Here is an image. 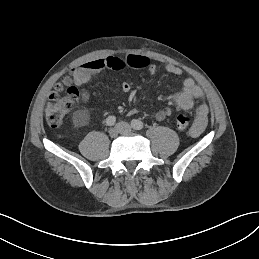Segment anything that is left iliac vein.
<instances>
[{"instance_id": "1", "label": "left iliac vein", "mask_w": 259, "mask_h": 259, "mask_svg": "<svg viewBox=\"0 0 259 259\" xmlns=\"http://www.w3.org/2000/svg\"><path fill=\"white\" fill-rule=\"evenodd\" d=\"M116 127L121 134H129L132 131V127L126 122H119L117 123Z\"/></svg>"}]
</instances>
